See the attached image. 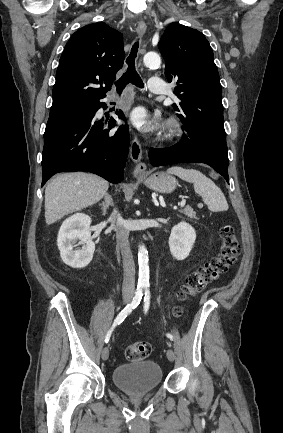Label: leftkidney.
Masks as SVG:
<instances>
[{"instance_id":"obj_1","label":"left kidney","mask_w":283,"mask_h":433,"mask_svg":"<svg viewBox=\"0 0 283 433\" xmlns=\"http://www.w3.org/2000/svg\"><path fill=\"white\" fill-rule=\"evenodd\" d=\"M196 240L194 228L186 223L180 222L175 225L169 237V248L172 256L177 260H184L188 257Z\"/></svg>"}]
</instances>
